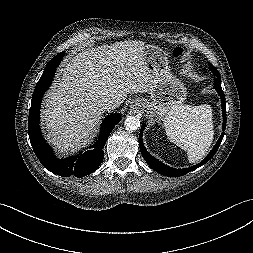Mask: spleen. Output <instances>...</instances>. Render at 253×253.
<instances>
[{
    "instance_id": "1",
    "label": "spleen",
    "mask_w": 253,
    "mask_h": 253,
    "mask_svg": "<svg viewBox=\"0 0 253 253\" xmlns=\"http://www.w3.org/2000/svg\"><path fill=\"white\" fill-rule=\"evenodd\" d=\"M212 117L210 105H183L164 123L169 140L187 151L190 163L202 159L213 142Z\"/></svg>"
}]
</instances>
